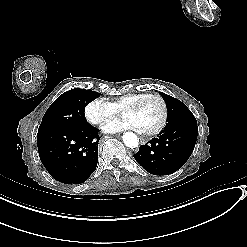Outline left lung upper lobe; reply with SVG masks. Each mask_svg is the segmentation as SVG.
<instances>
[{
	"instance_id": "5c2ea615",
	"label": "left lung upper lobe",
	"mask_w": 247,
	"mask_h": 247,
	"mask_svg": "<svg viewBox=\"0 0 247 247\" xmlns=\"http://www.w3.org/2000/svg\"><path fill=\"white\" fill-rule=\"evenodd\" d=\"M160 94L166 101L168 107V123L166 127H173L181 124L197 125L194 115L185 104L167 94L162 92H160Z\"/></svg>"
}]
</instances>
